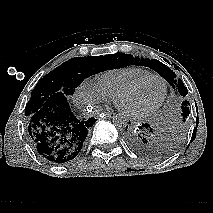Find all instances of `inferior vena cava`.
<instances>
[{
  "label": "inferior vena cava",
  "mask_w": 213,
  "mask_h": 213,
  "mask_svg": "<svg viewBox=\"0 0 213 213\" xmlns=\"http://www.w3.org/2000/svg\"><path fill=\"white\" fill-rule=\"evenodd\" d=\"M84 117H85V118H88V117H89V114H88V113H85V114H84Z\"/></svg>",
  "instance_id": "inferior-vena-cava-1"
}]
</instances>
